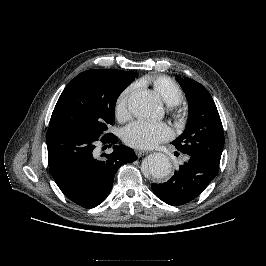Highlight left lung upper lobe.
<instances>
[{"label": "left lung upper lobe", "mask_w": 266, "mask_h": 266, "mask_svg": "<svg viewBox=\"0 0 266 266\" xmlns=\"http://www.w3.org/2000/svg\"><path fill=\"white\" fill-rule=\"evenodd\" d=\"M186 94L189 114L185 132L172 144L180 152L195 156L219 167L224 147V133L216 105L200 83L176 76Z\"/></svg>", "instance_id": "1"}]
</instances>
